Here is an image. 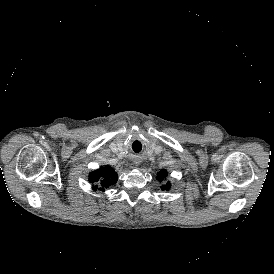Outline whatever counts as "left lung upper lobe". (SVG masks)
<instances>
[{
	"label": "left lung upper lobe",
	"instance_id": "1",
	"mask_svg": "<svg viewBox=\"0 0 274 274\" xmlns=\"http://www.w3.org/2000/svg\"><path fill=\"white\" fill-rule=\"evenodd\" d=\"M166 177H167V171L165 169H162L161 171L158 172L157 180L159 182H162V181H164L166 179ZM169 188H170V184L169 183H167L166 185L162 186L163 190L164 189L168 190Z\"/></svg>",
	"mask_w": 274,
	"mask_h": 274
}]
</instances>
